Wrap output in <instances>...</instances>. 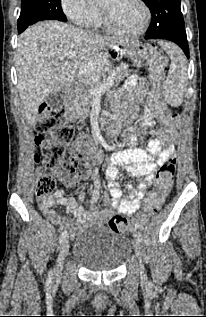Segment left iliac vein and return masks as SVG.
Listing matches in <instances>:
<instances>
[{"label": "left iliac vein", "instance_id": "1", "mask_svg": "<svg viewBox=\"0 0 206 317\" xmlns=\"http://www.w3.org/2000/svg\"><path fill=\"white\" fill-rule=\"evenodd\" d=\"M133 247H134L136 255H137L138 259H139L140 276H141L142 279H144L146 277V275H145L144 267H143V264H142V261H141V254H142L141 243H140V241L137 238L133 239Z\"/></svg>", "mask_w": 206, "mask_h": 317}]
</instances>
